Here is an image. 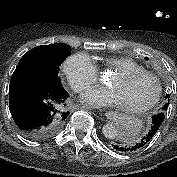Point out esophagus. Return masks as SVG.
Listing matches in <instances>:
<instances>
[{
  "mask_svg": "<svg viewBox=\"0 0 177 177\" xmlns=\"http://www.w3.org/2000/svg\"><path fill=\"white\" fill-rule=\"evenodd\" d=\"M109 115H110V114H109L107 111H104V112L102 113V116H103L104 118H107Z\"/></svg>",
  "mask_w": 177,
  "mask_h": 177,
  "instance_id": "obj_1",
  "label": "esophagus"
}]
</instances>
